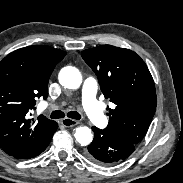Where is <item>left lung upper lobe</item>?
I'll return each instance as SVG.
<instances>
[{"label":"left lung upper lobe","instance_id":"1","mask_svg":"<svg viewBox=\"0 0 183 183\" xmlns=\"http://www.w3.org/2000/svg\"><path fill=\"white\" fill-rule=\"evenodd\" d=\"M84 61L98 77L109 108L107 131L139 144L155 113L157 97L145 62L133 51L111 45L86 49ZM108 109V108H107Z\"/></svg>","mask_w":183,"mask_h":183}]
</instances>
